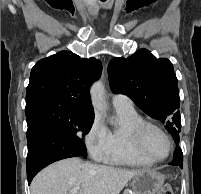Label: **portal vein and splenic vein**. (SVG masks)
Returning <instances> with one entry per match:
<instances>
[{
  "instance_id": "portal-vein-and-splenic-vein-1",
  "label": "portal vein and splenic vein",
  "mask_w": 201,
  "mask_h": 194,
  "mask_svg": "<svg viewBox=\"0 0 201 194\" xmlns=\"http://www.w3.org/2000/svg\"><path fill=\"white\" fill-rule=\"evenodd\" d=\"M79 190H80V186H76L70 190L69 194H77Z\"/></svg>"
}]
</instances>
